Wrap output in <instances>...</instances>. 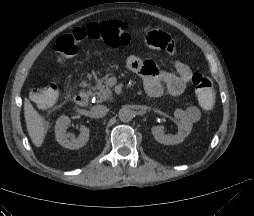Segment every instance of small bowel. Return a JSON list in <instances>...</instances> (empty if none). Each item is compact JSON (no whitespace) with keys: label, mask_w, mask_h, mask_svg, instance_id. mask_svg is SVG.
<instances>
[{"label":"small bowel","mask_w":254,"mask_h":216,"mask_svg":"<svg viewBox=\"0 0 254 216\" xmlns=\"http://www.w3.org/2000/svg\"><path fill=\"white\" fill-rule=\"evenodd\" d=\"M145 41L153 51H171L175 47L174 40L163 29L148 30ZM123 60L129 69L143 76L145 90L153 97L180 96L191 80L190 68L180 61L175 63L174 71H167L157 68L152 61L132 55H124Z\"/></svg>","instance_id":"small-bowel-1"}]
</instances>
